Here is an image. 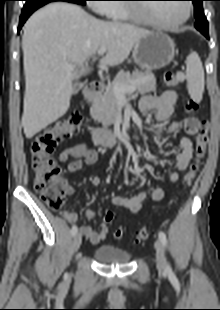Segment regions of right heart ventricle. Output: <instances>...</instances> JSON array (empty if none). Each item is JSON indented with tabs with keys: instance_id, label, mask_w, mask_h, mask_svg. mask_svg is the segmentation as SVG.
Returning a JSON list of instances; mask_svg holds the SVG:
<instances>
[{
	"instance_id": "1",
	"label": "right heart ventricle",
	"mask_w": 220,
	"mask_h": 310,
	"mask_svg": "<svg viewBox=\"0 0 220 310\" xmlns=\"http://www.w3.org/2000/svg\"><path fill=\"white\" fill-rule=\"evenodd\" d=\"M109 7L105 10L104 15L116 21H132L133 17L127 7L122 4H107Z\"/></svg>"
}]
</instances>
